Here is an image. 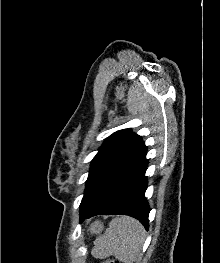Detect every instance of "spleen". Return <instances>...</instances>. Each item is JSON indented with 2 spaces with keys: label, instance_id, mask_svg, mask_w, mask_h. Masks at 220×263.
I'll list each match as a JSON object with an SVG mask.
<instances>
[{
  "label": "spleen",
  "instance_id": "spleen-1",
  "mask_svg": "<svg viewBox=\"0 0 220 263\" xmlns=\"http://www.w3.org/2000/svg\"><path fill=\"white\" fill-rule=\"evenodd\" d=\"M145 230L139 221L128 216L114 218L105 234L96 238L93 255L99 258L114 255L119 261L133 263L140 255Z\"/></svg>",
  "mask_w": 220,
  "mask_h": 263
}]
</instances>
